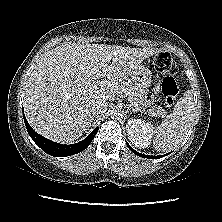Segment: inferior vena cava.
<instances>
[{"mask_svg": "<svg viewBox=\"0 0 222 222\" xmlns=\"http://www.w3.org/2000/svg\"><path fill=\"white\" fill-rule=\"evenodd\" d=\"M107 105V101L105 100L98 101L96 104L93 105L91 109L92 115L95 116L104 113L107 110Z\"/></svg>", "mask_w": 222, "mask_h": 222, "instance_id": "obj_1", "label": "inferior vena cava"}]
</instances>
